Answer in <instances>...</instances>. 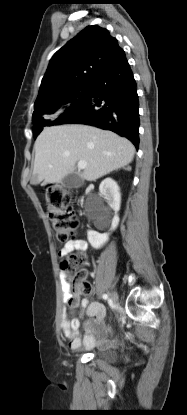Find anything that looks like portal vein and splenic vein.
<instances>
[{
    "instance_id": "obj_1",
    "label": "portal vein and splenic vein",
    "mask_w": 187,
    "mask_h": 415,
    "mask_svg": "<svg viewBox=\"0 0 187 415\" xmlns=\"http://www.w3.org/2000/svg\"><path fill=\"white\" fill-rule=\"evenodd\" d=\"M87 163L86 161H79L78 162V168L79 169H84L86 167Z\"/></svg>"
}]
</instances>
